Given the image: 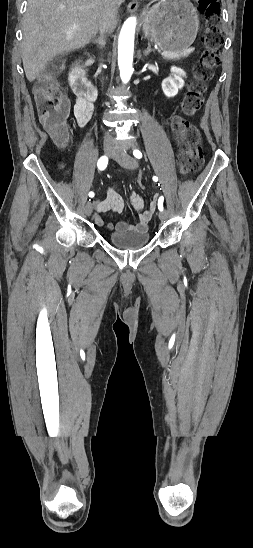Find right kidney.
Here are the masks:
<instances>
[{"label":"right kidney","instance_id":"obj_1","mask_svg":"<svg viewBox=\"0 0 253 548\" xmlns=\"http://www.w3.org/2000/svg\"><path fill=\"white\" fill-rule=\"evenodd\" d=\"M75 78H76V76L71 75L69 79H70V81L72 82V81L75 80Z\"/></svg>","mask_w":253,"mask_h":548}]
</instances>
